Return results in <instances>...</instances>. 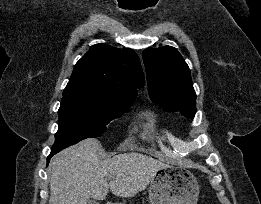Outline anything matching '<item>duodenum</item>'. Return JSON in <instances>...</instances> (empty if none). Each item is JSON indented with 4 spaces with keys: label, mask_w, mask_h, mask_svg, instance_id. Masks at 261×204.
Listing matches in <instances>:
<instances>
[{
    "label": "duodenum",
    "mask_w": 261,
    "mask_h": 204,
    "mask_svg": "<svg viewBox=\"0 0 261 204\" xmlns=\"http://www.w3.org/2000/svg\"><path fill=\"white\" fill-rule=\"evenodd\" d=\"M107 204H115V203H111V202H109V203H107Z\"/></svg>",
    "instance_id": "duodenum-1"
}]
</instances>
